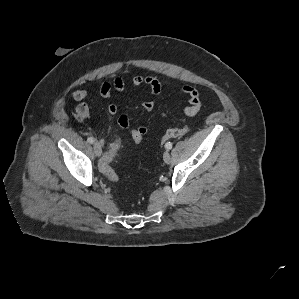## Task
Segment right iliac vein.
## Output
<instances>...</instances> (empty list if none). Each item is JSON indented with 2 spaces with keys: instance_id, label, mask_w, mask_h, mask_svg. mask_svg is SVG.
Returning a JSON list of instances; mask_svg holds the SVG:
<instances>
[{
  "instance_id": "63e3f726",
  "label": "right iliac vein",
  "mask_w": 299,
  "mask_h": 299,
  "mask_svg": "<svg viewBox=\"0 0 299 299\" xmlns=\"http://www.w3.org/2000/svg\"><path fill=\"white\" fill-rule=\"evenodd\" d=\"M93 148H94V153L96 154V156H100L102 153V148H101L100 144L98 142H95L93 144Z\"/></svg>"
}]
</instances>
